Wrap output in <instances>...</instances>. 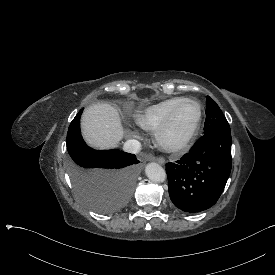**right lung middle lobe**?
I'll list each match as a JSON object with an SVG mask.
<instances>
[{
	"label": "right lung middle lobe",
	"mask_w": 275,
	"mask_h": 275,
	"mask_svg": "<svg viewBox=\"0 0 275 275\" xmlns=\"http://www.w3.org/2000/svg\"><path fill=\"white\" fill-rule=\"evenodd\" d=\"M83 109L67 133L68 170L77 197L91 210L114 214L129 202L141 167L134 154L120 150H94L80 131Z\"/></svg>",
	"instance_id": "right-lung-middle-lobe-1"
}]
</instances>
